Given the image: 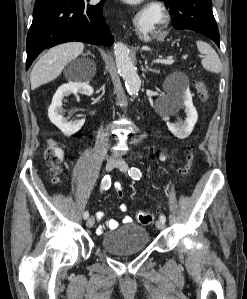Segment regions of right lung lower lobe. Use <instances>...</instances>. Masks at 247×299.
<instances>
[{"instance_id": "obj_1", "label": "right lung lower lobe", "mask_w": 247, "mask_h": 299, "mask_svg": "<svg viewBox=\"0 0 247 299\" xmlns=\"http://www.w3.org/2000/svg\"><path fill=\"white\" fill-rule=\"evenodd\" d=\"M88 1L47 0L35 5L27 35L26 70L42 50L60 43L112 45L114 38L102 13L104 1L96 5L87 4Z\"/></svg>"}]
</instances>
